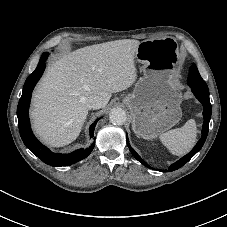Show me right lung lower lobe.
I'll use <instances>...</instances> for the list:
<instances>
[{"label":"right lung lower lobe","mask_w":227,"mask_h":227,"mask_svg":"<svg viewBox=\"0 0 227 227\" xmlns=\"http://www.w3.org/2000/svg\"><path fill=\"white\" fill-rule=\"evenodd\" d=\"M47 56H48V53L42 54L37 68L32 74L28 76L23 86L22 96L19 100L18 107H17L18 126H19L21 138L25 146L29 150H31L38 158H40L44 163L55 167L69 166L86 158L93 150L95 141L86 150L78 149L70 154H55V153H52L47 147L42 145L36 139L30 127L28 109L30 105L31 94H32L33 88L35 87L36 83L42 76L43 71L46 67L45 61L47 60ZM98 120L99 119H97L90 126L91 138L94 136V129Z\"/></svg>","instance_id":"right-lung-lower-lobe-1"}]
</instances>
